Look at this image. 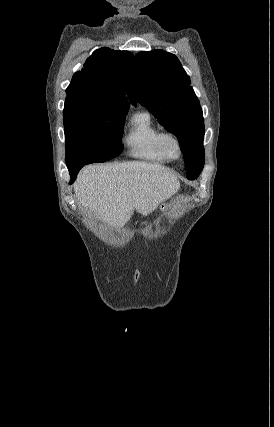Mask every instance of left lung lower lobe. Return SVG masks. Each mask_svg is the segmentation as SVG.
Masks as SVG:
<instances>
[{"label":"left lung lower lobe","mask_w":274,"mask_h":427,"mask_svg":"<svg viewBox=\"0 0 274 427\" xmlns=\"http://www.w3.org/2000/svg\"><path fill=\"white\" fill-rule=\"evenodd\" d=\"M190 180H193V179H195V178H192V177H188Z\"/></svg>","instance_id":"left-lung-lower-lobe-1"}]
</instances>
